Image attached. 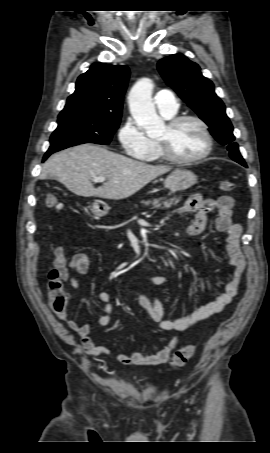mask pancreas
Wrapping results in <instances>:
<instances>
[{
    "label": "pancreas",
    "mask_w": 270,
    "mask_h": 453,
    "mask_svg": "<svg viewBox=\"0 0 270 453\" xmlns=\"http://www.w3.org/2000/svg\"><path fill=\"white\" fill-rule=\"evenodd\" d=\"M180 201V198H172V199H154V200H148V201H142V204L145 206H149L150 204L152 205L153 209H159V208H170L172 205H176ZM137 207V206H136Z\"/></svg>",
    "instance_id": "pancreas-1"
}]
</instances>
